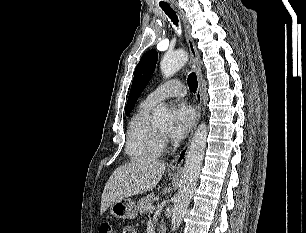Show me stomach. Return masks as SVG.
Returning a JSON list of instances; mask_svg holds the SVG:
<instances>
[{"label": "stomach", "mask_w": 306, "mask_h": 233, "mask_svg": "<svg viewBox=\"0 0 306 233\" xmlns=\"http://www.w3.org/2000/svg\"><path fill=\"white\" fill-rule=\"evenodd\" d=\"M110 213L116 218L134 219L138 214L136 203L129 198H123L110 205Z\"/></svg>", "instance_id": "obj_1"}]
</instances>
